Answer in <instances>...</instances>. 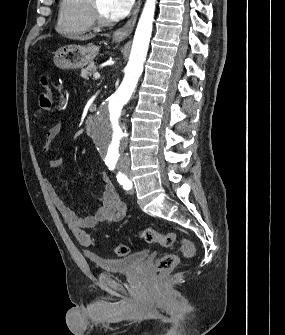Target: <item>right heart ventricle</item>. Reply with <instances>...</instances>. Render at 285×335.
Here are the masks:
<instances>
[{
  "mask_svg": "<svg viewBox=\"0 0 285 335\" xmlns=\"http://www.w3.org/2000/svg\"><path fill=\"white\" fill-rule=\"evenodd\" d=\"M92 28V1H61L56 26L61 36L79 39Z\"/></svg>",
  "mask_w": 285,
  "mask_h": 335,
  "instance_id": "obj_1",
  "label": "right heart ventricle"
}]
</instances>
